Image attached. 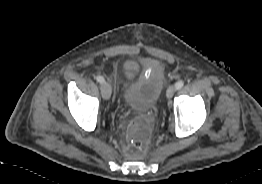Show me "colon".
<instances>
[{
	"label": "colon",
	"instance_id": "5ec220e1",
	"mask_svg": "<svg viewBox=\"0 0 262 184\" xmlns=\"http://www.w3.org/2000/svg\"><path fill=\"white\" fill-rule=\"evenodd\" d=\"M131 148L129 152L139 154L143 153L148 144L149 126L145 120H137L131 127Z\"/></svg>",
	"mask_w": 262,
	"mask_h": 184
}]
</instances>
